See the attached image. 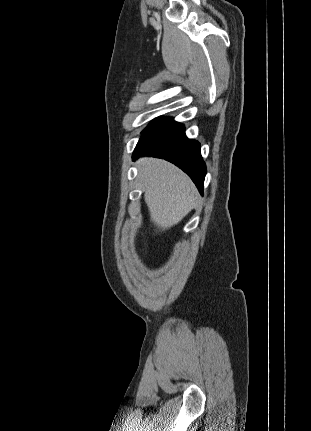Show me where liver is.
<instances>
[{
  "label": "liver",
  "instance_id": "liver-1",
  "mask_svg": "<svg viewBox=\"0 0 311 431\" xmlns=\"http://www.w3.org/2000/svg\"><path fill=\"white\" fill-rule=\"evenodd\" d=\"M138 168L151 221L160 229L172 227L197 206L193 182L173 164L142 158Z\"/></svg>",
  "mask_w": 311,
  "mask_h": 431
}]
</instances>
